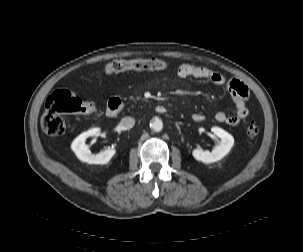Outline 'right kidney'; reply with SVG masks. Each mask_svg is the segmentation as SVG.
<instances>
[{
    "mask_svg": "<svg viewBox=\"0 0 303 252\" xmlns=\"http://www.w3.org/2000/svg\"><path fill=\"white\" fill-rule=\"evenodd\" d=\"M99 131V128L90 129L80 134L72 142L71 148L77 158L82 162H87L88 164H107L115 155V149H107L98 154L91 153L89 146L85 144V141L88 137L96 135Z\"/></svg>",
    "mask_w": 303,
    "mask_h": 252,
    "instance_id": "ca27d5eb",
    "label": "right kidney"
}]
</instances>
